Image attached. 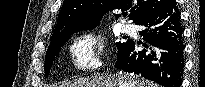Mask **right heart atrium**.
Listing matches in <instances>:
<instances>
[{
	"instance_id": "obj_1",
	"label": "right heart atrium",
	"mask_w": 205,
	"mask_h": 87,
	"mask_svg": "<svg viewBox=\"0 0 205 87\" xmlns=\"http://www.w3.org/2000/svg\"><path fill=\"white\" fill-rule=\"evenodd\" d=\"M104 53V41L94 33L76 37L69 46L70 62L80 70H92L100 66Z\"/></svg>"
}]
</instances>
